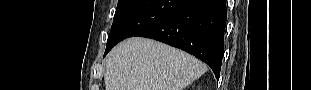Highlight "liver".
Segmentation results:
<instances>
[{
	"label": "liver",
	"instance_id": "1",
	"mask_svg": "<svg viewBox=\"0 0 311 90\" xmlns=\"http://www.w3.org/2000/svg\"><path fill=\"white\" fill-rule=\"evenodd\" d=\"M207 70L194 56L154 40L132 37L106 60V90H183Z\"/></svg>",
	"mask_w": 311,
	"mask_h": 90
}]
</instances>
